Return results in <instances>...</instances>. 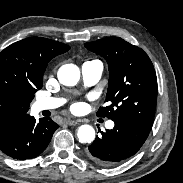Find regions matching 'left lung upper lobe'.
<instances>
[{
	"instance_id": "left-lung-upper-lobe-1",
	"label": "left lung upper lobe",
	"mask_w": 183,
	"mask_h": 183,
	"mask_svg": "<svg viewBox=\"0 0 183 183\" xmlns=\"http://www.w3.org/2000/svg\"><path fill=\"white\" fill-rule=\"evenodd\" d=\"M109 65L108 91L98 117L130 119L152 128L157 100V78L148 55L122 38L109 37L85 43Z\"/></svg>"
}]
</instances>
